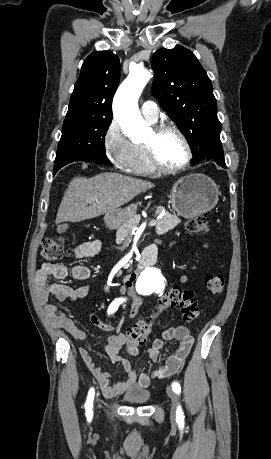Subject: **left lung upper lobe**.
Wrapping results in <instances>:
<instances>
[{"instance_id": "obj_1", "label": "left lung upper lobe", "mask_w": 271, "mask_h": 459, "mask_svg": "<svg viewBox=\"0 0 271 459\" xmlns=\"http://www.w3.org/2000/svg\"><path fill=\"white\" fill-rule=\"evenodd\" d=\"M151 64L152 94L187 138L191 164H197L220 148L216 139L221 123L211 81L196 56L180 45L158 50Z\"/></svg>"}]
</instances>
